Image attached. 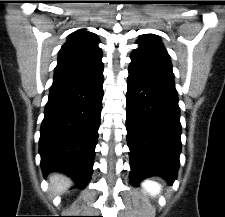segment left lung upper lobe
I'll return each mask as SVG.
<instances>
[{
  "instance_id": "left-lung-upper-lobe-1",
  "label": "left lung upper lobe",
  "mask_w": 225,
  "mask_h": 217,
  "mask_svg": "<svg viewBox=\"0 0 225 217\" xmlns=\"http://www.w3.org/2000/svg\"><path fill=\"white\" fill-rule=\"evenodd\" d=\"M137 43L140 46L131 53V66L163 69L173 74L170 56L156 35L146 34Z\"/></svg>"
}]
</instances>
